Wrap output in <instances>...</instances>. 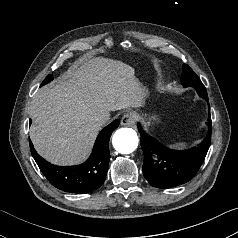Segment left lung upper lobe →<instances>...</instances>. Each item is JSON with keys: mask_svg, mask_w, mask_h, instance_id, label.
Segmentation results:
<instances>
[{"mask_svg": "<svg viewBox=\"0 0 238 238\" xmlns=\"http://www.w3.org/2000/svg\"><path fill=\"white\" fill-rule=\"evenodd\" d=\"M181 82L184 87H194L201 97L208 100V95L205 86L202 84L198 76L187 64L183 65V74L181 77Z\"/></svg>", "mask_w": 238, "mask_h": 238, "instance_id": "1", "label": "left lung upper lobe"}]
</instances>
